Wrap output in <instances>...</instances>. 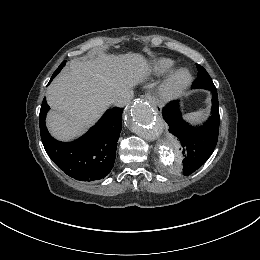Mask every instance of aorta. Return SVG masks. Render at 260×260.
<instances>
[{
	"instance_id": "1",
	"label": "aorta",
	"mask_w": 260,
	"mask_h": 260,
	"mask_svg": "<svg viewBox=\"0 0 260 260\" xmlns=\"http://www.w3.org/2000/svg\"><path fill=\"white\" fill-rule=\"evenodd\" d=\"M126 123L136 135L150 142L159 140L165 130L164 124L156 117L153 108L142 100L132 103L126 113ZM179 148L180 145L175 138L165 136L160 150L161 157L164 160L169 158L172 162L177 159Z\"/></svg>"
}]
</instances>
